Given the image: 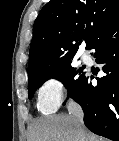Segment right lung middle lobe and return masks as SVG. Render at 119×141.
Returning a JSON list of instances; mask_svg holds the SVG:
<instances>
[{
	"label": "right lung middle lobe",
	"mask_w": 119,
	"mask_h": 141,
	"mask_svg": "<svg viewBox=\"0 0 119 141\" xmlns=\"http://www.w3.org/2000/svg\"><path fill=\"white\" fill-rule=\"evenodd\" d=\"M72 62V61H71ZM71 62L63 66L42 70L28 75L29 99H31L35 91L48 79L56 78L60 80L68 89L69 96L74 92L75 87L82 78V69L77 70L71 66Z\"/></svg>",
	"instance_id": "1"
}]
</instances>
